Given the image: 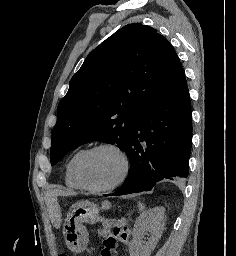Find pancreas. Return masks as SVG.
Listing matches in <instances>:
<instances>
[{
	"instance_id": "cf45deb5",
	"label": "pancreas",
	"mask_w": 236,
	"mask_h": 256,
	"mask_svg": "<svg viewBox=\"0 0 236 256\" xmlns=\"http://www.w3.org/2000/svg\"><path fill=\"white\" fill-rule=\"evenodd\" d=\"M97 235H98V236H105V235H106V232H105V231H98V232H97Z\"/></svg>"
}]
</instances>
